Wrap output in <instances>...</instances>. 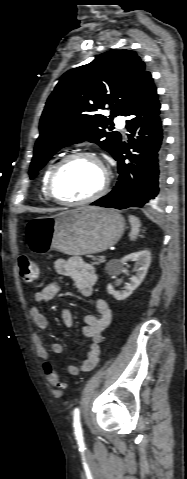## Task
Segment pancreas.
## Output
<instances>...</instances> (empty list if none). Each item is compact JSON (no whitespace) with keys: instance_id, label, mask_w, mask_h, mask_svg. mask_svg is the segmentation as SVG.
Returning <instances> with one entry per match:
<instances>
[{"instance_id":"cf45deb5","label":"pancreas","mask_w":187,"mask_h":479,"mask_svg":"<svg viewBox=\"0 0 187 479\" xmlns=\"http://www.w3.org/2000/svg\"><path fill=\"white\" fill-rule=\"evenodd\" d=\"M91 258H92V260H93V264H94V265H98V264L104 262V259H102L101 257H91Z\"/></svg>"}]
</instances>
